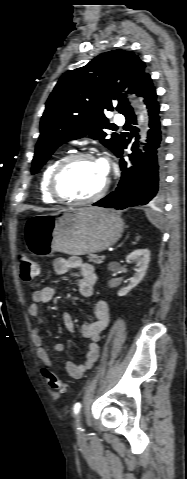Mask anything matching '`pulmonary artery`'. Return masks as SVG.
Masks as SVG:
<instances>
[{"label":"pulmonary artery","instance_id":"pulmonary-artery-1","mask_svg":"<svg viewBox=\"0 0 187 479\" xmlns=\"http://www.w3.org/2000/svg\"><path fill=\"white\" fill-rule=\"evenodd\" d=\"M113 120L115 124L122 125L124 123V116L122 114H116Z\"/></svg>","mask_w":187,"mask_h":479}]
</instances>
